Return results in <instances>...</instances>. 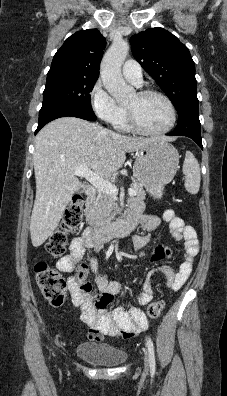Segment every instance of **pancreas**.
I'll return each mask as SVG.
<instances>
[{"label": "pancreas", "instance_id": "cf45deb5", "mask_svg": "<svg viewBox=\"0 0 227 396\" xmlns=\"http://www.w3.org/2000/svg\"><path fill=\"white\" fill-rule=\"evenodd\" d=\"M131 187L136 191L137 197L145 198V190L139 182L134 180ZM117 200L116 195L102 191L98 192L97 196L86 205L85 216L88 224L102 226L109 223L116 214Z\"/></svg>", "mask_w": 227, "mask_h": 396}]
</instances>
